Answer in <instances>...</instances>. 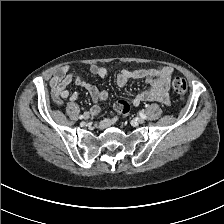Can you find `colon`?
I'll use <instances>...</instances> for the list:
<instances>
[{
  "label": "colon",
  "mask_w": 224,
  "mask_h": 224,
  "mask_svg": "<svg viewBox=\"0 0 224 224\" xmlns=\"http://www.w3.org/2000/svg\"><path fill=\"white\" fill-rule=\"evenodd\" d=\"M173 91L180 96H184L187 92V81L183 77H175L172 81ZM115 109L123 114L127 115L129 113L130 107L126 101L119 100L115 104Z\"/></svg>",
  "instance_id": "5ec220e1"
}]
</instances>
